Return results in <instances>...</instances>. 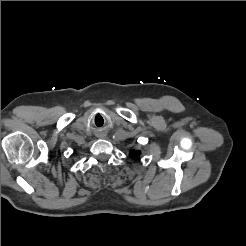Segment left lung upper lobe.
I'll return each mask as SVG.
<instances>
[{
    "instance_id": "left-lung-upper-lobe-1",
    "label": "left lung upper lobe",
    "mask_w": 246,
    "mask_h": 246,
    "mask_svg": "<svg viewBox=\"0 0 246 246\" xmlns=\"http://www.w3.org/2000/svg\"><path fill=\"white\" fill-rule=\"evenodd\" d=\"M139 155H140V151L133 150V151L130 152V157H132L134 159L138 158Z\"/></svg>"
}]
</instances>
